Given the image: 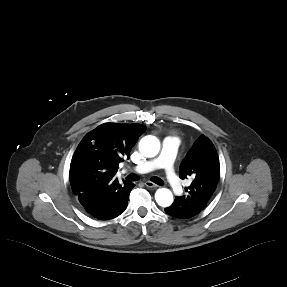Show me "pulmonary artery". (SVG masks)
<instances>
[{
  "label": "pulmonary artery",
  "mask_w": 287,
  "mask_h": 287,
  "mask_svg": "<svg viewBox=\"0 0 287 287\" xmlns=\"http://www.w3.org/2000/svg\"><path fill=\"white\" fill-rule=\"evenodd\" d=\"M179 141L177 137L171 135L163 141L162 152L157 158L148 160L140 165L133 167L134 171L140 174L151 172L162 168L166 181L172 188L176 196H181L183 188L174 172V158L177 152Z\"/></svg>",
  "instance_id": "obj_1"
}]
</instances>
